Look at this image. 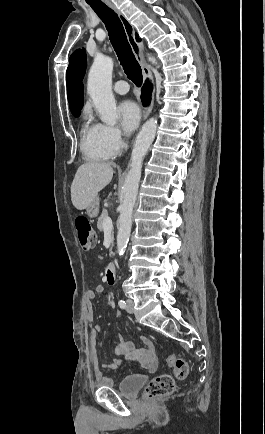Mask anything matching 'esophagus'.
<instances>
[{
	"mask_svg": "<svg viewBox=\"0 0 265 434\" xmlns=\"http://www.w3.org/2000/svg\"><path fill=\"white\" fill-rule=\"evenodd\" d=\"M108 5L111 7V9L114 10V12H116L124 27L132 52L134 53L136 60L139 62V64L142 67L144 78L150 80V82L154 85L151 71L145 65L144 55L142 51V43L137 42L135 38L134 26L131 24L130 20H128V18L120 10H118V8L115 7V5H113L112 3H108ZM154 91L155 90L153 88L150 105L143 107V120H145L150 115V112L152 111L154 105Z\"/></svg>",
	"mask_w": 265,
	"mask_h": 434,
	"instance_id": "1",
	"label": "esophagus"
}]
</instances>
